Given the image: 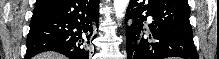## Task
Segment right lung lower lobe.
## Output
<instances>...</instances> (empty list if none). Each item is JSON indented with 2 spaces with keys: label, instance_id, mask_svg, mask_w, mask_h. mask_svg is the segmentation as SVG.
<instances>
[{
  "label": "right lung lower lobe",
  "instance_id": "obj_1",
  "mask_svg": "<svg viewBox=\"0 0 219 59\" xmlns=\"http://www.w3.org/2000/svg\"><path fill=\"white\" fill-rule=\"evenodd\" d=\"M100 0H37L25 59L56 51L70 59H88L96 38Z\"/></svg>",
  "mask_w": 219,
  "mask_h": 59
}]
</instances>
